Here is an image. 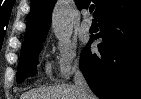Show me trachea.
I'll list each match as a JSON object with an SVG mask.
<instances>
[{"label": "trachea", "mask_w": 141, "mask_h": 99, "mask_svg": "<svg viewBox=\"0 0 141 99\" xmlns=\"http://www.w3.org/2000/svg\"><path fill=\"white\" fill-rule=\"evenodd\" d=\"M94 9H95V6H91L90 7V13H92L94 11Z\"/></svg>", "instance_id": "1"}]
</instances>
